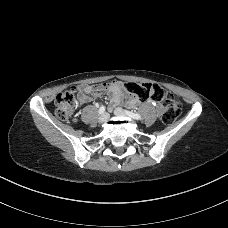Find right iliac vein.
<instances>
[{
	"mask_svg": "<svg viewBox=\"0 0 228 228\" xmlns=\"http://www.w3.org/2000/svg\"><path fill=\"white\" fill-rule=\"evenodd\" d=\"M108 118H109V114H108V113H103V114L100 115V117L98 118V122H99V123H104Z\"/></svg>",
	"mask_w": 228,
	"mask_h": 228,
	"instance_id": "obj_1",
	"label": "right iliac vein"
}]
</instances>
